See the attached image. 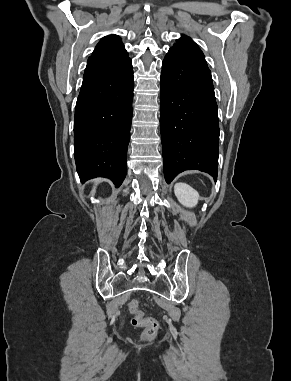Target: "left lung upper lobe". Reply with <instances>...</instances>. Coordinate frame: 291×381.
I'll use <instances>...</instances> for the list:
<instances>
[{
	"label": "left lung upper lobe",
	"instance_id": "5c2ea615",
	"mask_svg": "<svg viewBox=\"0 0 291 381\" xmlns=\"http://www.w3.org/2000/svg\"><path fill=\"white\" fill-rule=\"evenodd\" d=\"M176 41L177 43H175L171 48L176 49L196 62L207 66L203 52L192 39L186 35H182L181 38Z\"/></svg>",
	"mask_w": 291,
	"mask_h": 381
}]
</instances>
